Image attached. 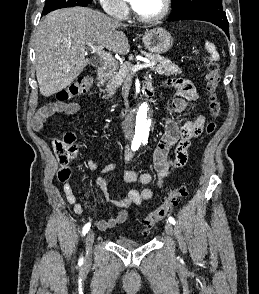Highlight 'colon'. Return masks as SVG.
<instances>
[{"label": "colon", "instance_id": "colon-1", "mask_svg": "<svg viewBox=\"0 0 259 294\" xmlns=\"http://www.w3.org/2000/svg\"><path fill=\"white\" fill-rule=\"evenodd\" d=\"M207 72L205 75L206 89L208 93V105L212 115V120L207 124L206 133L211 134L216 128V119L220 114V102L217 96V89L221 82V71L219 65L211 58L206 59ZM92 78L89 75L80 76L67 88L57 94L58 101H68L72 98L82 95L91 86ZM72 135L65 138V145L58 143L56 146L60 162L64 165L58 172L61 181H65L70 176V169L66 166L74 153L72 148ZM187 195V187L182 185L170 190L160 205L150 212L143 220L142 226L145 233L150 232L156 227L177 205L180 198Z\"/></svg>", "mask_w": 259, "mask_h": 294}]
</instances>
